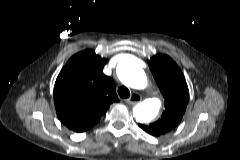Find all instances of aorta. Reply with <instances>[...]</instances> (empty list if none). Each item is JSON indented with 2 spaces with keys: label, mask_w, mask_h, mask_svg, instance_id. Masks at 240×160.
<instances>
[{
  "label": "aorta",
  "mask_w": 240,
  "mask_h": 160,
  "mask_svg": "<svg viewBox=\"0 0 240 160\" xmlns=\"http://www.w3.org/2000/svg\"><path fill=\"white\" fill-rule=\"evenodd\" d=\"M117 75L121 82L131 88L141 90L147 86V78L144 71L131 60H124L118 64ZM160 107V99L149 98L134 107L133 116L139 123L150 122L158 115Z\"/></svg>",
  "instance_id": "1"
}]
</instances>
